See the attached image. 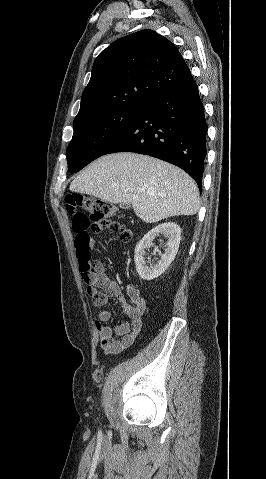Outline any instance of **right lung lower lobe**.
<instances>
[{
    "label": "right lung lower lobe",
    "mask_w": 266,
    "mask_h": 479,
    "mask_svg": "<svg viewBox=\"0 0 266 479\" xmlns=\"http://www.w3.org/2000/svg\"><path fill=\"white\" fill-rule=\"evenodd\" d=\"M206 135L204 106L190 78L150 101L102 155L135 152L159 158L182 168L201 189Z\"/></svg>",
    "instance_id": "98d812e1"
}]
</instances>
